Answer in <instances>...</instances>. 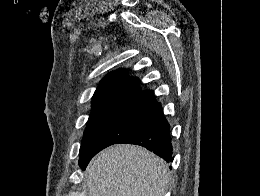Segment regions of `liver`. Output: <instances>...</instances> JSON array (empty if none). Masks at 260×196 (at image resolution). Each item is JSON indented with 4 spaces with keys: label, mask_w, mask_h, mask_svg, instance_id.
<instances>
[{
    "label": "liver",
    "mask_w": 260,
    "mask_h": 196,
    "mask_svg": "<svg viewBox=\"0 0 260 196\" xmlns=\"http://www.w3.org/2000/svg\"><path fill=\"white\" fill-rule=\"evenodd\" d=\"M85 176L88 196H165L169 182L161 158L130 144L99 152Z\"/></svg>",
    "instance_id": "liver-1"
}]
</instances>
